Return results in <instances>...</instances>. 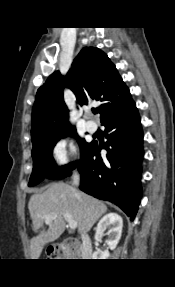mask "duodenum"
Wrapping results in <instances>:
<instances>
[{
    "instance_id": "410a0bca",
    "label": "duodenum",
    "mask_w": 175,
    "mask_h": 287,
    "mask_svg": "<svg viewBox=\"0 0 175 287\" xmlns=\"http://www.w3.org/2000/svg\"><path fill=\"white\" fill-rule=\"evenodd\" d=\"M80 255L83 257L91 256V247H90V239L87 235H83L80 239Z\"/></svg>"
}]
</instances>
